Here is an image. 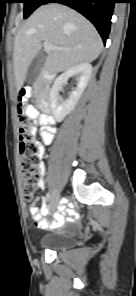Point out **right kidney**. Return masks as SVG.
<instances>
[{"label": "right kidney", "mask_w": 136, "mask_h": 296, "mask_svg": "<svg viewBox=\"0 0 136 296\" xmlns=\"http://www.w3.org/2000/svg\"><path fill=\"white\" fill-rule=\"evenodd\" d=\"M91 73L92 66L90 63H81L71 67L55 80L50 90V103L53 116L58 122L62 121L75 108L88 85ZM73 76H76L78 81L77 87L70 93L67 100H63L59 95V90Z\"/></svg>", "instance_id": "right-kidney-1"}]
</instances>
